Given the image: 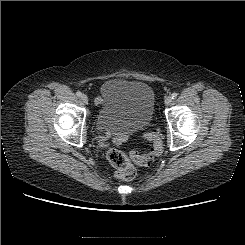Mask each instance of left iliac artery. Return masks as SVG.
I'll list each match as a JSON object with an SVG mask.
<instances>
[{
    "instance_id": "1",
    "label": "left iliac artery",
    "mask_w": 245,
    "mask_h": 245,
    "mask_svg": "<svg viewBox=\"0 0 245 245\" xmlns=\"http://www.w3.org/2000/svg\"><path fill=\"white\" fill-rule=\"evenodd\" d=\"M177 96H178V94H177V93H175V92L171 94V98H172V99L177 98Z\"/></svg>"
}]
</instances>
